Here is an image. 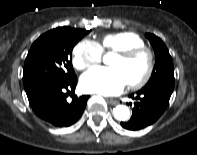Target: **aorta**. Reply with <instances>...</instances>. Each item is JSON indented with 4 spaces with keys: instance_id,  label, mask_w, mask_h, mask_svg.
<instances>
[{
    "instance_id": "aorta-1",
    "label": "aorta",
    "mask_w": 197,
    "mask_h": 155,
    "mask_svg": "<svg viewBox=\"0 0 197 155\" xmlns=\"http://www.w3.org/2000/svg\"><path fill=\"white\" fill-rule=\"evenodd\" d=\"M106 59V57H105ZM115 119L119 121H126L130 117L129 108L125 105H118L113 109Z\"/></svg>"
}]
</instances>
